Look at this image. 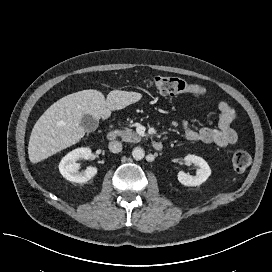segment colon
<instances>
[{
    "mask_svg": "<svg viewBox=\"0 0 272 272\" xmlns=\"http://www.w3.org/2000/svg\"><path fill=\"white\" fill-rule=\"evenodd\" d=\"M148 86L162 95L171 96L181 93L204 94V90L194 84L171 76H155L148 80ZM251 163L250 154L242 149L236 150L232 156V165L237 172H243Z\"/></svg>",
    "mask_w": 272,
    "mask_h": 272,
    "instance_id": "1",
    "label": "colon"
}]
</instances>
